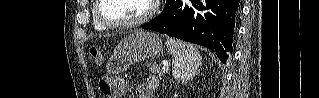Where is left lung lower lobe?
<instances>
[{
	"instance_id": "0a47b994",
	"label": "left lung lower lobe",
	"mask_w": 319,
	"mask_h": 98,
	"mask_svg": "<svg viewBox=\"0 0 319 98\" xmlns=\"http://www.w3.org/2000/svg\"><path fill=\"white\" fill-rule=\"evenodd\" d=\"M239 0H166L159 17L142 26L211 49L227 64Z\"/></svg>"
}]
</instances>
